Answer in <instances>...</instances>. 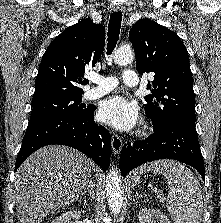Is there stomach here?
<instances>
[{
	"instance_id": "stomach-1",
	"label": "stomach",
	"mask_w": 221,
	"mask_h": 223,
	"mask_svg": "<svg viewBox=\"0 0 221 223\" xmlns=\"http://www.w3.org/2000/svg\"><path fill=\"white\" fill-rule=\"evenodd\" d=\"M139 178V174L137 172V174H135L134 179L137 180Z\"/></svg>"
}]
</instances>
